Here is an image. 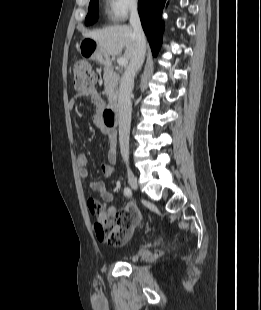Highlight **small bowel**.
Here are the masks:
<instances>
[{"label": "small bowel", "mask_w": 261, "mask_h": 310, "mask_svg": "<svg viewBox=\"0 0 261 310\" xmlns=\"http://www.w3.org/2000/svg\"><path fill=\"white\" fill-rule=\"evenodd\" d=\"M80 96L89 97L91 101L93 102V104L98 108H101L104 104L103 99L101 95L99 94V92L97 91V89L95 87H89L83 91H80L75 97L69 100V107L71 109L74 108L76 104V98ZM95 121L100 131L107 138L106 159L101 165V170H102L103 175L106 178H109L115 172V168H114V165L116 163L115 134L112 130L105 127L98 118H96ZM88 162L89 160H88L87 155H85L84 153H81L78 155L77 165L79 168V176L83 180H88L89 178V172L87 169ZM90 187L92 190L97 191L105 202L107 203L113 202V199H114L113 194L106 189L105 183L103 181L91 182ZM117 212L118 211L115 207H110L106 213L108 215H115Z\"/></svg>", "instance_id": "1"}]
</instances>
